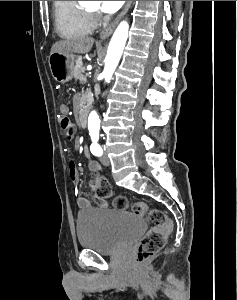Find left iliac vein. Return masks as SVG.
I'll return each mask as SVG.
<instances>
[{
  "label": "left iliac vein",
  "mask_w": 237,
  "mask_h": 300,
  "mask_svg": "<svg viewBox=\"0 0 237 300\" xmlns=\"http://www.w3.org/2000/svg\"><path fill=\"white\" fill-rule=\"evenodd\" d=\"M100 161L104 166H110V160L108 159L107 155H102Z\"/></svg>",
  "instance_id": "4c4485c4"
}]
</instances>
